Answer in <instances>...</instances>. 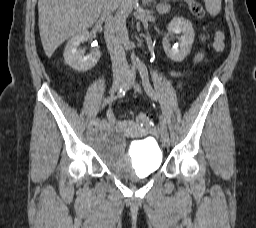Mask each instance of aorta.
Here are the masks:
<instances>
[{"mask_svg":"<svg viewBox=\"0 0 256 228\" xmlns=\"http://www.w3.org/2000/svg\"><path fill=\"white\" fill-rule=\"evenodd\" d=\"M138 5V0H121L120 7L117 11L115 16L117 27H118V34L120 37L121 42L124 45L129 44V36L126 27V19L129 14L133 11L134 8ZM132 60L135 61L134 56H132Z\"/></svg>","mask_w":256,"mask_h":228,"instance_id":"762f6f07","label":"aorta"}]
</instances>
